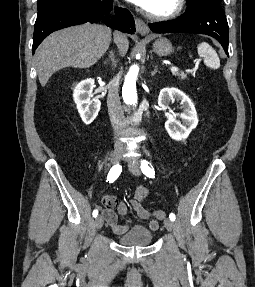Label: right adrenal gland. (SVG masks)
Segmentation results:
<instances>
[{"label":"right adrenal gland","instance_id":"2a0ac1e0","mask_svg":"<svg viewBox=\"0 0 255 287\" xmlns=\"http://www.w3.org/2000/svg\"><path fill=\"white\" fill-rule=\"evenodd\" d=\"M109 60H111V62H113V64H115V54H114V52H109ZM104 64H108V60H106V62H104Z\"/></svg>","mask_w":255,"mask_h":287}]
</instances>
